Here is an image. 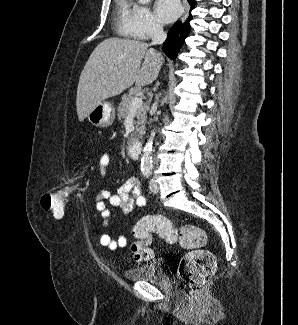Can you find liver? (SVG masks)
<instances>
[{
  "label": "liver",
  "mask_w": 298,
  "mask_h": 325,
  "mask_svg": "<svg viewBox=\"0 0 298 325\" xmlns=\"http://www.w3.org/2000/svg\"><path fill=\"white\" fill-rule=\"evenodd\" d=\"M149 46L130 38H105L95 46L77 86L76 110L81 122L106 98L121 94L132 84L140 88L158 78L164 58Z\"/></svg>",
  "instance_id": "liver-1"
}]
</instances>
